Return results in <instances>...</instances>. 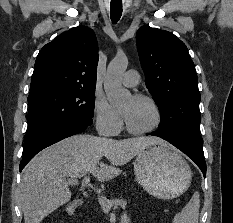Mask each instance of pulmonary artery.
I'll use <instances>...</instances> for the list:
<instances>
[{
  "mask_svg": "<svg viewBox=\"0 0 233 223\" xmlns=\"http://www.w3.org/2000/svg\"><path fill=\"white\" fill-rule=\"evenodd\" d=\"M139 78L140 75L136 70H128L124 75H123V83L124 85L128 87H135L139 83Z\"/></svg>",
  "mask_w": 233,
  "mask_h": 223,
  "instance_id": "pulmonary-artery-1",
  "label": "pulmonary artery"
}]
</instances>
